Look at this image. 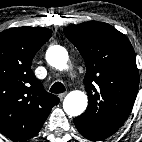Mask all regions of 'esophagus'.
I'll return each mask as SVG.
<instances>
[{
    "label": "esophagus",
    "mask_w": 142,
    "mask_h": 142,
    "mask_svg": "<svg viewBox=\"0 0 142 142\" xmlns=\"http://www.w3.org/2000/svg\"><path fill=\"white\" fill-rule=\"evenodd\" d=\"M66 96V93H61L58 95L59 99L62 101Z\"/></svg>",
    "instance_id": "1"
}]
</instances>
